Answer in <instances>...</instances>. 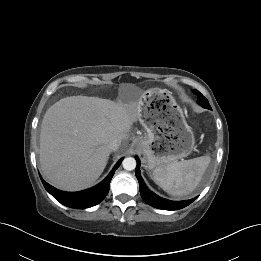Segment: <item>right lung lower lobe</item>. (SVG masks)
I'll return each mask as SVG.
<instances>
[{"mask_svg": "<svg viewBox=\"0 0 261 261\" xmlns=\"http://www.w3.org/2000/svg\"><path fill=\"white\" fill-rule=\"evenodd\" d=\"M122 159L116 163L109 175L98 185L80 192H64L46 183L41 177L45 189L60 203L70 208L84 209L100 203L109 192L110 181Z\"/></svg>", "mask_w": 261, "mask_h": 261, "instance_id": "obj_1", "label": "right lung lower lobe"}]
</instances>
